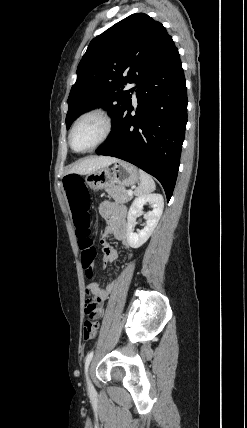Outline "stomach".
Wrapping results in <instances>:
<instances>
[{
    "instance_id": "1",
    "label": "stomach",
    "mask_w": 247,
    "mask_h": 428,
    "mask_svg": "<svg viewBox=\"0 0 247 428\" xmlns=\"http://www.w3.org/2000/svg\"><path fill=\"white\" fill-rule=\"evenodd\" d=\"M139 180L138 169L125 161L118 160L113 167L100 168L86 175L85 181L93 190L107 189L115 184L119 186H131Z\"/></svg>"
}]
</instances>
